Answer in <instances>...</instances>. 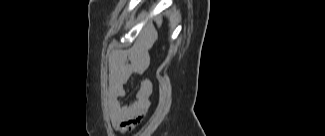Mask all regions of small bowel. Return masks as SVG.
<instances>
[{"label":"small bowel","instance_id":"1","mask_svg":"<svg viewBox=\"0 0 325 136\" xmlns=\"http://www.w3.org/2000/svg\"><path fill=\"white\" fill-rule=\"evenodd\" d=\"M143 64H135L127 51L114 50L109 56L108 109L114 126L123 131L132 129L150 106L153 85L150 79L140 82L133 102L124 107L121 99L125 96V83L136 72H142Z\"/></svg>","mask_w":325,"mask_h":136}]
</instances>
